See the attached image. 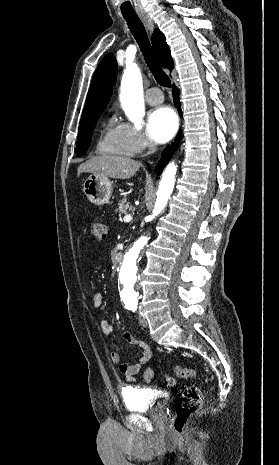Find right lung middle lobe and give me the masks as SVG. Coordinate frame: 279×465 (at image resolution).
<instances>
[{"label":"right lung middle lobe","mask_w":279,"mask_h":465,"mask_svg":"<svg viewBox=\"0 0 279 465\" xmlns=\"http://www.w3.org/2000/svg\"><path fill=\"white\" fill-rule=\"evenodd\" d=\"M101 114V113H100ZM100 114L94 118L89 124L79 127L78 140L76 145V155L81 156L86 153L90 145L91 136Z\"/></svg>","instance_id":"dd1d6c3e"}]
</instances>
